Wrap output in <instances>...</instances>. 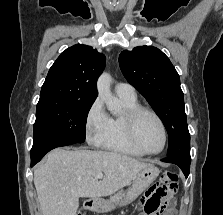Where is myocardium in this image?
Here are the masks:
<instances>
[{
	"mask_svg": "<svg viewBox=\"0 0 223 215\" xmlns=\"http://www.w3.org/2000/svg\"><path fill=\"white\" fill-rule=\"evenodd\" d=\"M145 114L151 116L157 122V124L160 128V131H161V135H162L161 146L159 147L158 150L153 151V152L141 151L139 149V147L137 145V141H136V135H135L136 125H137L139 118ZM126 133H127L128 142L136 150L138 155H141V156L158 155L163 151V149L166 145V129H165V126H164L162 120L154 111H152L146 107L139 106L127 113V115H126Z\"/></svg>",
	"mask_w": 223,
	"mask_h": 215,
	"instance_id": "1",
	"label": "myocardium"
}]
</instances>
